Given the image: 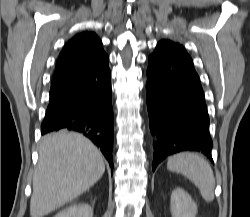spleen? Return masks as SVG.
<instances>
[{
	"label": "spleen",
	"mask_w": 250,
	"mask_h": 217,
	"mask_svg": "<svg viewBox=\"0 0 250 217\" xmlns=\"http://www.w3.org/2000/svg\"><path fill=\"white\" fill-rule=\"evenodd\" d=\"M167 169L186 176L207 202L214 200L215 177L209 163L196 153L183 152L168 159Z\"/></svg>",
	"instance_id": "3e777b00"
}]
</instances>
